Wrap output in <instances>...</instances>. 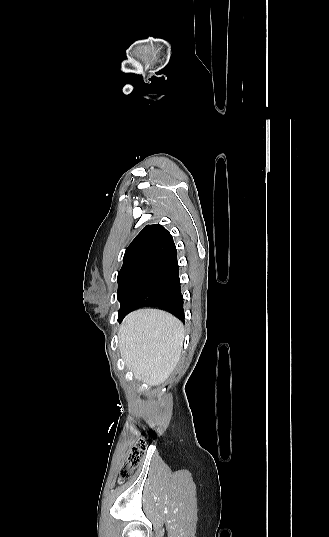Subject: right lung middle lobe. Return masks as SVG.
Wrapping results in <instances>:
<instances>
[{
  "label": "right lung middle lobe",
  "mask_w": 329,
  "mask_h": 537,
  "mask_svg": "<svg viewBox=\"0 0 329 537\" xmlns=\"http://www.w3.org/2000/svg\"><path fill=\"white\" fill-rule=\"evenodd\" d=\"M148 263L138 262L123 266L118 273V291L117 298L122 303L127 290L136 279V277L147 267Z\"/></svg>",
  "instance_id": "obj_1"
}]
</instances>
